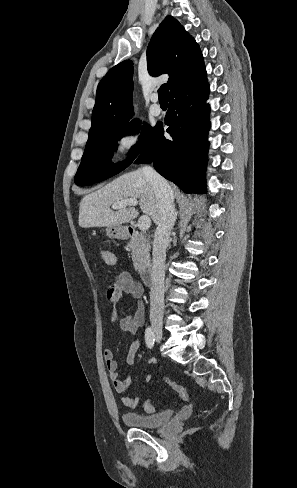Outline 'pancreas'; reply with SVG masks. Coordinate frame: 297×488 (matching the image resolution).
Masks as SVG:
<instances>
[{
	"instance_id": "obj_1",
	"label": "pancreas",
	"mask_w": 297,
	"mask_h": 488,
	"mask_svg": "<svg viewBox=\"0 0 297 488\" xmlns=\"http://www.w3.org/2000/svg\"><path fill=\"white\" fill-rule=\"evenodd\" d=\"M128 246L132 250V261L136 271L143 270L150 261V241L146 234L135 233Z\"/></svg>"
}]
</instances>
